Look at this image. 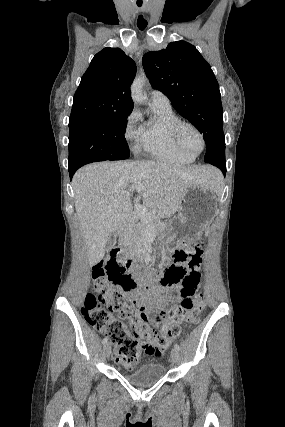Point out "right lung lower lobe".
Returning <instances> with one entry per match:
<instances>
[{
  "label": "right lung lower lobe",
  "instance_id": "obj_1",
  "mask_svg": "<svg viewBox=\"0 0 285 427\" xmlns=\"http://www.w3.org/2000/svg\"><path fill=\"white\" fill-rule=\"evenodd\" d=\"M76 170H69V175H70V179L73 177V174L75 173Z\"/></svg>",
  "mask_w": 285,
  "mask_h": 427
}]
</instances>
